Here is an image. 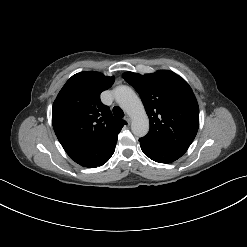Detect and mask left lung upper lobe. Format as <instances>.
Wrapping results in <instances>:
<instances>
[{"mask_svg":"<svg viewBox=\"0 0 247 247\" xmlns=\"http://www.w3.org/2000/svg\"><path fill=\"white\" fill-rule=\"evenodd\" d=\"M122 76L138 92L149 117L150 130L143 138L187 150L199 127V108L190 86L171 71Z\"/></svg>","mask_w":247,"mask_h":247,"instance_id":"obj_1","label":"left lung upper lobe"}]
</instances>
